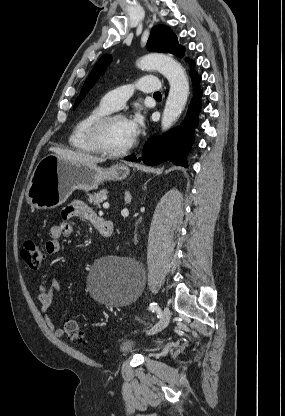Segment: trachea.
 <instances>
[{
    "label": "trachea",
    "instance_id": "3493384b",
    "mask_svg": "<svg viewBox=\"0 0 285 416\" xmlns=\"http://www.w3.org/2000/svg\"><path fill=\"white\" fill-rule=\"evenodd\" d=\"M154 96H160V97H161L162 95H161V93H160V92H155V93H154Z\"/></svg>",
    "mask_w": 285,
    "mask_h": 416
}]
</instances>
